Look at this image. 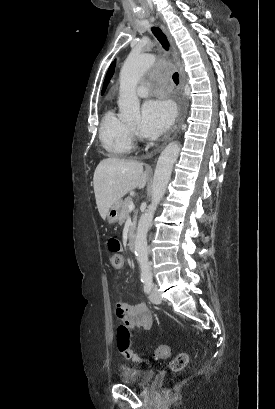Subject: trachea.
<instances>
[{
  "mask_svg": "<svg viewBox=\"0 0 275 409\" xmlns=\"http://www.w3.org/2000/svg\"><path fill=\"white\" fill-rule=\"evenodd\" d=\"M151 31L153 32V34L155 35L157 40L161 43L163 48L168 51L169 42H168V40L166 38V35H164V33L158 27H151ZM173 81L176 83V85H178V83H179V74L177 72H175L173 74Z\"/></svg>",
  "mask_w": 275,
  "mask_h": 409,
  "instance_id": "3493384b",
  "label": "trachea"
}]
</instances>
